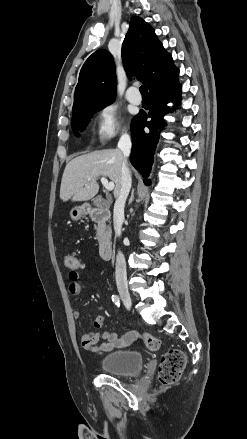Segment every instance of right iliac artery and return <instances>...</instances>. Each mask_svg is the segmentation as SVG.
<instances>
[{"instance_id": "obj_1", "label": "right iliac artery", "mask_w": 247, "mask_h": 439, "mask_svg": "<svg viewBox=\"0 0 247 439\" xmlns=\"http://www.w3.org/2000/svg\"><path fill=\"white\" fill-rule=\"evenodd\" d=\"M112 301L119 306L120 305V298L117 295H112Z\"/></svg>"}]
</instances>
